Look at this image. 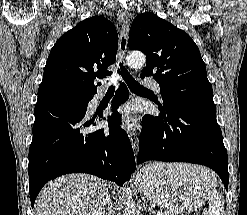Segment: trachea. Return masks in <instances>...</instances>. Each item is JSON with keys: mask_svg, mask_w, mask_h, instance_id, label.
<instances>
[{"mask_svg": "<svg viewBox=\"0 0 247 215\" xmlns=\"http://www.w3.org/2000/svg\"><path fill=\"white\" fill-rule=\"evenodd\" d=\"M119 69L117 72L122 76L126 84L128 85L129 89L131 91H150L147 88L140 85L133 77L130 75L128 70L123 66V64L119 63ZM115 86L111 85L108 90H114Z\"/></svg>", "mask_w": 247, "mask_h": 215, "instance_id": "trachea-1", "label": "trachea"}]
</instances>
